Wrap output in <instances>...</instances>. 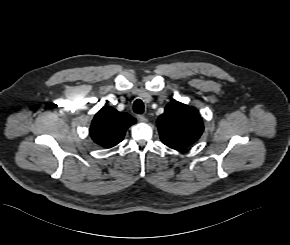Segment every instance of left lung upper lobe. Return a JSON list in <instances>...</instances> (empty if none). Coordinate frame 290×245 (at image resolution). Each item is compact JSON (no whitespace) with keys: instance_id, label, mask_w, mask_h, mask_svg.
Masks as SVG:
<instances>
[{"instance_id":"1","label":"left lung upper lobe","mask_w":290,"mask_h":245,"mask_svg":"<svg viewBox=\"0 0 290 245\" xmlns=\"http://www.w3.org/2000/svg\"><path fill=\"white\" fill-rule=\"evenodd\" d=\"M157 126L162 142L175 150L192 145L203 132V121L198 110L178 101L166 106L157 120Z\"/></svg>"}]
</instances>
